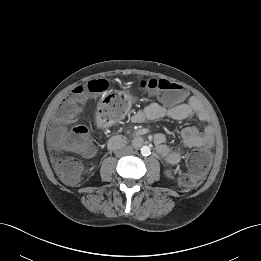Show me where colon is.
Listing matches in <instances>:
<instances>
[{
  "instance_id": "colon-1",
  "label": "colon",
  "mask_w": 261,
  "mask_h": 261,
  "mask_svg": "<svg viewBox=\"0 0 261 261\" xmlns=\"http://www.w3.org/2000/svg\"><path fill=\"white\" fill-rule=\"evenodd\" d=\"M140 88L155 94L162 103L171 105L178 103L184 98L183 88L165 79H144L140 82ZM98 93L104 97L106 106L103 121L106 124L114 123L125 116L130 109L129 100L119 92H109L108 83L103 79L91 80L77 85L73 94L66 100L62 107L61 117L70 114L73 108L74 97L86 94ZM55 136L59 146L67 151L90 156L95 151L94 142L90 131L86 126H76L71 130L57 129ZM211 162L210 153L206 150H196L189 155L188 172L180 173L178 182L185 187H192L197 184L200 177L207 171ZM55 170L63 181L74 184L78 181L82 171L81 162L73 157H63L55 160Z\"/></svg>"
}]
</instances>
